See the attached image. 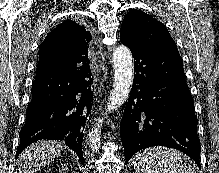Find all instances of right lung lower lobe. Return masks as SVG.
<instances>
[{
    "label": "right lung lower lobe",
    "mask_w": 219,
    "mask_h": 173,
    "mask_svg": "<svg viewBox=\"0 0 219 173\" xmlns=\"http://www.w3.org/2000/svg\"><path fill=\"white\" fill-rule=\"evenodd\" d=\"M89 63L77 55L39 61L16 157L41 139L64 141L84 165L82 139L93 103Z\"/></svg>",
    "instance_id": "1"
}]
</instances>
